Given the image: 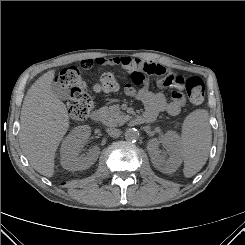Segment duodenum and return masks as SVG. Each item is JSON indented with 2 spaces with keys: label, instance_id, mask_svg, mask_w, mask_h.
Listing matches in <instances>:
<instances>
[{
  "label": "duodenum",
  "instance_id": "1",
  "mask_svg": "<svg viewBox=\"0 0 245 245\" xmlns=\"http://www.w3.org/2000/svg\"><path fill=\"white\" fill-rule=\"evenodd\" d=\"M91 119L94 121V122H100L101 119H102V114L100 111H94L92 114H91ZM151 121V118L143 115V116H136L132 119V122L133 124L135 125H141V124H144L145 122H149Z\"/></svg>",
  "mask_w": 245,
  "mask_h": 245
}]
</instances>
